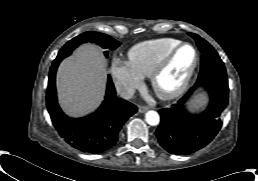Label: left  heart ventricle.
<instances>
[{
  "mask_svg": "<svg viewBox=\"0 0 258 181\" xmlns=\"http://www.w3.org/2000/svg\"><path fill=\"white\" fill-rule=\"evenodd\" d=\"M195 54L192 48L186 46L179 50L172 64L159 79V86L163 90H172L182 81L192 66Z\"/></svg>",
  "mask_w": 258,
  "mask_h": 181,
  "instance_id": "1",
  "label": "left heart ventricle"
}]
</instances>
